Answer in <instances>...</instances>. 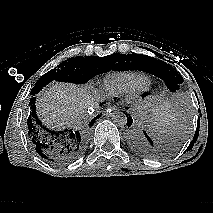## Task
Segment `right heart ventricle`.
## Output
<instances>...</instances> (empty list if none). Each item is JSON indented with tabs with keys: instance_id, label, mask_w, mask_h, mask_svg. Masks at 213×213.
<instances>
[{
	"instance_id": "1",
	"label": "right heart ventricle",
	"mask_w": 213,
	"mask_h": 213,
	"mask_svg": "<svg viewBox=\"0 0 213 213\" xmlns=\"http://www.w3.org/2000/svg\"><path fill=\"white\" fill-rule=\"evenodd\" d=\"M148 83L149 77L141 72L112 73L104 80L106 89L114 95L140 90Z\"/></svg>"
}]
</instances>
